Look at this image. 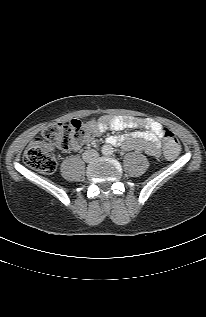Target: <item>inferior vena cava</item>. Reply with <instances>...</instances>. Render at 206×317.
Masks as SVG:
<instances>
[{
  "label": "inferior vena cava",
  "mask_w": 206,
  "mask_h": 317,
  "mask_svg": "<svg viewBox=\"0 0 206 317\" xmlns=\"http://www.w3.org/2000/svg\"><path fill=\"white\" fill-rule=\"evenodd\" d=\"M98 156L99 154L95 150H90L83 153V159L85 161H92L96 159Z\"/></svg>",
  "instance_id": "602c4592"
}]
</instances>
